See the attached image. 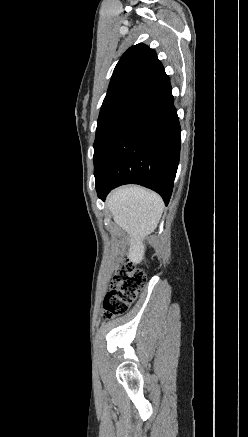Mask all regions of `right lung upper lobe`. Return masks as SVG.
Instances as JSON below:
<instances>
[{
	"mask_svg": "<svg viewBox=\"0 0 248 437\" xmlns=\"http://www.w3.org/2000/svg\"><path fill=\"white\" fill-rule=\"evenodd\" d=\"M163 71L154 50L141 43L132 46L117 63L103 104L128 92H141Z\"/></svg>",
	"mask_w": 248,
	"mask_h": 437,
	"instance_id": "right-lung-upper-lobe-1",
	"label": "right lung upper lobe"
}]
</instances>
